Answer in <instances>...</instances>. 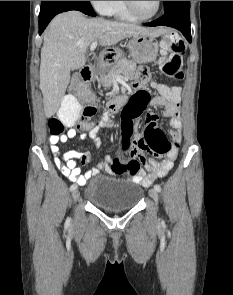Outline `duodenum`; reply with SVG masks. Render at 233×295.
<instances>
[{
	"instance_id": "410a0bca",
	"label": "duodenum",
	"mask_w": 233,
	"mask_h": 295,
	"mask_svg": "<svg viewBox=\"0 0 233 295\" xmlns=\"http://www.w3.org/2000/svg\"><path fill=\"white\" fill-rule=\"evenodd\" d=\"M94 78V70L92 67H84L81 71V79L85 82L92 81ZM127 102V97L124 95H118L112 98L107 104V110L115 113L122 108Z\"/></svg>"
}]
</instances>
